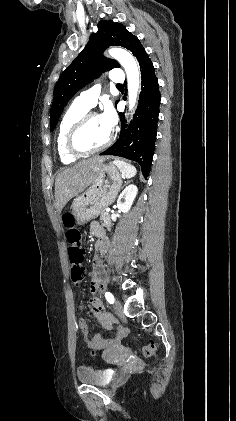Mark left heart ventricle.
Here are the masks:
<instances>
[{
    "label": "left heart ventricle",
    "mask_w": 236,
    "mask_h": 421,
    "mask_svg": "<svg viewBox=\"0 0 236 421\" xmlns=\"http://www.w3.org/2000/svg\"><path fill=\"white\" fill-rule=\"evenodd\" d=\"M110 131L105 127L100 116L89 118L80 129L78 144L82 149H91L102 144Z\"/></svg>",
    "instance_id": "1"
}]
</instances>
